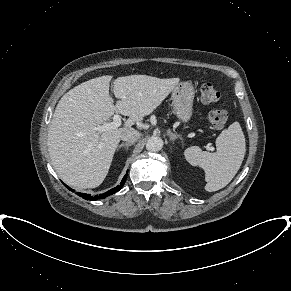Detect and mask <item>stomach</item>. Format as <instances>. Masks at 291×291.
Wrapping results in <instances>:
<instances>
[{
  "label": "stomach",
  "instance_id": "stomach-1",
  "mask_svg": "<svg viewBox=\"0 0 291 291\" xmlns=\"http://www.w3.org/2000/svg\"><path fill=\"white\" fill-rule=\"evenodd\" d=\"M174 114L181 122H188L193 114L194 88L190 82H181L172 90Z\"/></svg>",
  "mask_w": 291,
  "mask_h": 291
}]
</instances>
